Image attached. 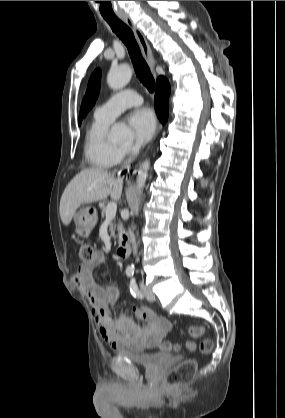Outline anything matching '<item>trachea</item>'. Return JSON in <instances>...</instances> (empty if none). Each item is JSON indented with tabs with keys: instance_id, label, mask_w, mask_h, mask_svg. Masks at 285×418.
Masks as SVG:
<instances>
[{
	"instance_id": "1",
	"label": "trachea",
	"mask_w": 285,
	"mask_h": 418,
	"mask_svg": "<svg viewBox=\"0 0 285 418\" xmlns=\"http://www.w3.org/2000/svg\"><path fill=\"white\" fill-rule=\"evenodd\" d=\"M103 17L111 26L115 34L126 45L137 77L150 92H153L155 89L154 78L150 72L147 63L141 55L139 46L135 40L132 30L117 17Z\"/></svg>"
}]
</instances>
